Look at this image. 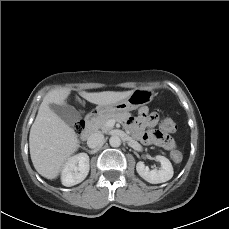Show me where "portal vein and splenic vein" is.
<instances>
[{
    "instance_id": "portal-vein-and-splenic-vein-1",
    "label": "portal vein and splenic vein",
    "mask_w": 229,
    "mask_h": 229,
    "mask_svg": "<svg viewBox=\"0 0 229 229\" xmlns=\"http://www.w3.org/2000/svg\"><path fill=\"white\" fill-rule=\"evenodd\" d=\"M106 124L109 127H113L115 125V120H109Z\"/></svg>"
}]
</instances>
